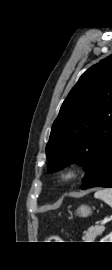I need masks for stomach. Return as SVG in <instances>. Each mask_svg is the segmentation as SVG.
Masks as SVG:
<instances>
[{"label": "stomach", "mask_w": 112, "mask_h": 270, "mask_svg": "<svg viewBox=\"0 0 112 270\" xmlns=\"http://www.w3.org/2000/svg\"><path fill=\"white\" fill-rule=\"evenodd\" d=\"M91 213H92V210L87 205H81L76 211V214L81 216V217H87Z\"/></svg>", "instance_id": "stomach-1"}]
</instances>
